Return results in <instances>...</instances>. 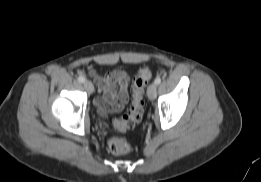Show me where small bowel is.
Instances as JSON below:
<instances>
[{
  "mask_svg": "<svg viewBox=\"0 0 261 182\" xmlns=\"http://www.w3.org/2000/svg\"><path fill=\"white\" fill-rule=\"evenodd\" d=\"M94 78L100 96L95 105L101 115L122 111L129 102L130 79L126 72L113 70L100 76L94 69L89 70Z\"/></svg>",
  "mask_w": 261,
  "mask_h": 182,
  "instance_id": "c3829d8e",
  "label": "small bowel"
}]
</instances>
